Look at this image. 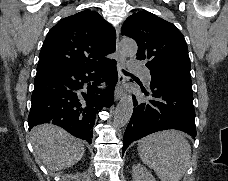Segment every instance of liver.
Segmentation results:
<instances>
[{
    "instance_id": "6515ba94",
    "label": "liver",
    "mask_w": 228,
    "mask_h": 181,
    "mask_svg": "<svg viewBox=\"0 0 228 181\" xmlns=\"http://www.w3.org/2000/svg\"><path fill=\"white\" fill-rule=\"evenodd\" d=\"M30 141L37 163L46 165L49 171H62L73 167L85 153L84 141L69 135L56 125H37L30 131Z\"/></svg>"
}]
</instances>
